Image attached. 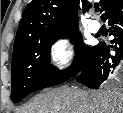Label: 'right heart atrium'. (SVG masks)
Listing matches in <instances>:
<instances>
[{"label": "right heart atrium", "instance_id": "right-heart-atrium-1", "mask_svg": "<svg viewBox=\"0 0 123 113\" xmlns=\"http://www.w3.org/2000/svg\"><path fill=\"white\" fill-rule=\"evenodd\" d=\"M49 57L52 67L58 74L67 73L77 59L73 38L69 35L56 38L50 45Z\"/></svg>", "mask_w": 123, "mask_h": 113}]
</instances>
